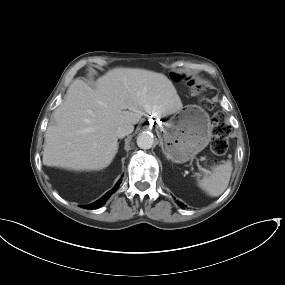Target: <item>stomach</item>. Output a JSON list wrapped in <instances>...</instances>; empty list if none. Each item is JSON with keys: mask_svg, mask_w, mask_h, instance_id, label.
<instances>
[{"mask_svg": "<svg viewBox=\"0 0 285 285\" xmlns=\"http://www.w3.org/2000/svg\"><path fill=\"white\" fill-rule=\"evenodd\" d=\"M163 153L174 163H185L210 142L209 115L195 105L186 106L157 127Z\"/></svg>", "mask_w": 285, "mask_h": 285, "instance_id": "0dacf381", "label": "stomach"}]
</instances>
